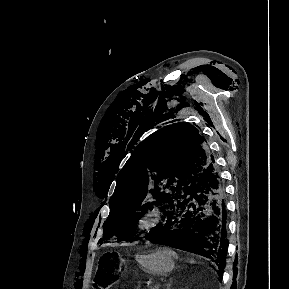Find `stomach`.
<instances>
[{"instance_id": "1", "label": "stomach", "mask_w": 289, "mask_h": 289, "mask_svg": "<svg viewBox=\"0 0 289 289\" xmlns=\"http://www.w3.org/2000/svg\"><path fill=\"white\" fill-rule=\"evenodd\" d=\"M173 256L171 250L162 248L149 254H138L136 261L143 271L152 275H163L174 268Z\"/></svg>"}]
</instances>
